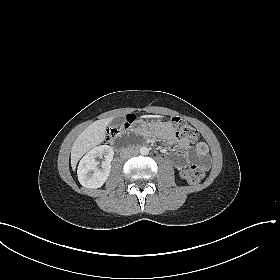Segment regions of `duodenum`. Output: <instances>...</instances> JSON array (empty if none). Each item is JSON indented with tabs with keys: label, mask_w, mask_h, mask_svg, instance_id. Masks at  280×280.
<instances>
[{
	"label": "duodenum",
	"mask_w": 280,
	"mask_h": 280,
	"mask_svg": "<svg viewBox=\"0 0 280 280\" xmlns=\"http://www.w3.org/2000/svg\"><path fill=\"white\" fill-rule=\"evenodd\" d=\"M115 147H116L117 149H121V148L123 147V144H122L120 141H117V142L115 143Z\"/></svg>",
	"instance_id": "410a0bca"
}]
</instances>
